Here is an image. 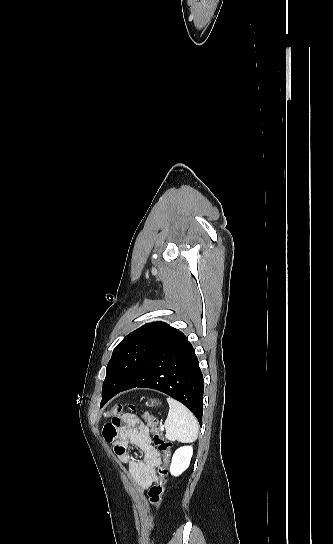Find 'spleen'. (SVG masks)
I'll use <instances>...</instances> for the list:
<instances>
[{"mask_svg": "<svg viewBox=\"0 0 333 544\" xmlns=\"http://www.w3.org/2000/svg\"><path fill=\"white\" fill-rule=\"evenodd\" d=\"M169 412L164 426L165 437L171 441L193 442L198 437V422L194 415L180 402L168 397Z\"/></svg>", "mask_w": 333, "mask_h": 544, "instance_id": "obj_1", "label": "spleen"}]
</instances>
